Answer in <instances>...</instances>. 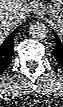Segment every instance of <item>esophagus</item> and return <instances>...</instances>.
<instances>
[{
	"label": "esophagus",
	"instance_id": "1",
	"mask_svg": "<svg viewBox=\"0 0 63 107\" xmlns=\"http://www.w3.org/2000/svg\"><path fill=\"white\" fill-rule=\"evenodd\" d=\"M32 12L36 16L42 15V14H44V8L39 5H35V6H33Z\"/></svg>",
	"mask_w": 63,
	"mask_h": 107
}]
</instances>
